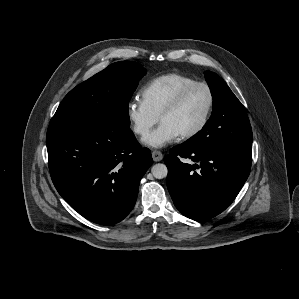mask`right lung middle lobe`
<instances>
[{
	"label": "right lung middle lobe",
	"instance_id": "obj_1",
	"mask_svg": "<svg viewBox=\"0 0 299 299\" xmlns=\"http://www.w3.org/2000/svg\"><path fill=\"white\" fill-rule=\"evenodd\" d=\"M145 74L136 62L109 65L64 97L49 126L70 128L101 122L129 126L128 104Z\"/></svg>",
	"mask_w": 299,
	"mask_h": 299
}]
</instances>
